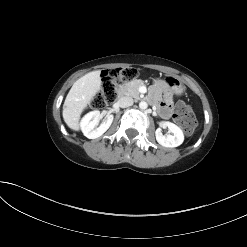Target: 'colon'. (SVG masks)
I'll list each match as a JSON object with an SVG mask.
<instances>
[{"mask_svg":"<svg viewBox=\"0 0 247 247\" xmlns=\"http://www.w3.org/2000/svg\"><path fill=\"white\" fill-rule=\"evenodd\" d=\"M137 75L138 71L133 67L106 70L103 74L102 87L94 96L92 106L101 109L115 101L118 96V85L134 79ZM174 119L186 135L192 134L197 126L192 109L183 102L177 103Z\"/></svg>","mask_w":247,"mask_h":247,"instance_id":"colon-1","label":"colon"}]
</instances>
